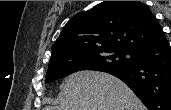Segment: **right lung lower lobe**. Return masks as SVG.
Masks as SVG:
<instances>
[{
	"label": "right lung lower lobe",
	"mask_w": 171,
	"mask_h": 110,
	"mask_svg": "<svg viewBox=\"0 0 171 110\" xmlns=\"http://www.w3.org/2000/svg\"><path fill=\"white\" fill-rule=\"evenodd\" d=\"M107 72L125 82L148 110H171V48L165 38L135 52L132 65Z\"/></svg>",
	"instance_id": "1"
}]
</instances>
